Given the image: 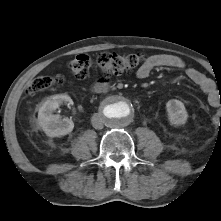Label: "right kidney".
<instances>
[{
	"mask_svg": "<svg viewBox=\"0 0 221 221\" xmlns=\"http://www.w3.org/2000/svg\"><path fill=\"white\" fill-rule=\"evenodd\" d=\"M63 103L73 105V101L68 95L58 94L49 97L39 108L38 124L49 137L65 136L74 128L72 120L68 118L61 120L58 115L52 114Z\"/></svg>",
	"mask_w": 221,
	"mask_h": 221,
	"instance_id": "right-kidney-1",
	"label": "right kidney"
}]
</instances>
